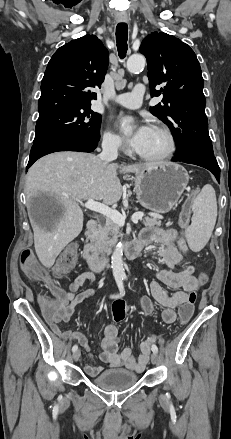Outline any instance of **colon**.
Listing matches in <instances>:
<instances>
[{
    "mask_svg": "<svg viewBox=\"0 0 231 439\" xmlns=\"http://www.w3.org/2000/svg\"><path fill=\"white\" fill-rule=\"evenodd\" d=\"M190 202H185L179 215V225L182 228L188 226L190 221ZM21 267L31 277L42 280L43 271L35 258V255L29 251L24 250L20 257ZM77 262V249L74 245L67 246L59 255L53 270L56 276H62L70 272ZM199 282H206L208 276L206 273H199L197 276ZM50 292L52 298L39 297L38 304L43 309V318L45 320H53L57 309V297L60 289L54 285H50ZM198 300L196 293H189L186 300L179 304L178 316L180 323H191L194 316L195 302ZM128 309L123 300H117L112 304V317L114 321L121 322L125 319Z\"/></svg>",
    "mask_w": 231,
    "mask_h": 439,
    "instance_id": "obj_1",
    "label": "colon"
}]
</instances>
